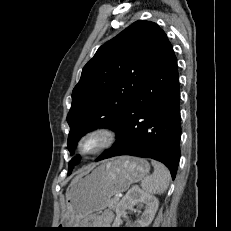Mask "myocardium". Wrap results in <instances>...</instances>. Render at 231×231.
Wrapping results in <instances>:
<instances>
[{
  "instance_id": "obj_1",
  "label": "myocardium",
  "mask_w": 231,
  "mask_h": 231,
  "mask_svg": "<svg viewBox=\"0 0 231 231\" xmlns=\"http://www.w3.org/2000/svg\"><path fill=\"white\" fill-rule=\"evenodd\" d=\"M88 138H98L100 139V144L91 151H85L82 148V144ZM116 139L117 134L113 129L106 126H96L87 130L79 137L76 144L77 151L86 157L96 156L111 148L116 142Z\"/></svg>"
}]
</instances>
